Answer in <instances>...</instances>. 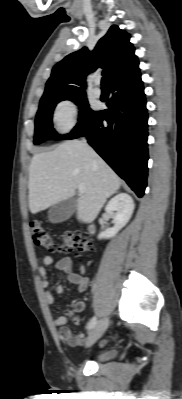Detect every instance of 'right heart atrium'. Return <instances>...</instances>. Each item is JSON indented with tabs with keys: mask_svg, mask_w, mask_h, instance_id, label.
<instances>
[{
	"mask_svg": "<svg viewBox=\"0 0 182 399\" xmlns=\"http://www.w3.org/2000/svg\"><path fill=\"white\" fill-rule=\"evenodd\" d=\"M80 104L71 99L63 100L54 109L52 120L57 132L71 131L79 121Z\"/></svg>",
	"mask_w": 182,
	"mask_h": 399,
	"instance_id": "d8ad5b80",
	"label": "right heart atrium"
}]
</instances>
